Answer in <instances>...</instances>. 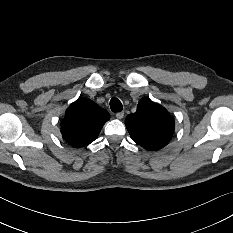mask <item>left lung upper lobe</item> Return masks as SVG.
<instances>
[{
	"label": "left lung upper lobe",
	"instance_id": "1",
	"mask_svg": "<svg viewBox=\"0 0 233 233\" xmlns=\"http://www.w3.org/2000/svg\"><path fill=\"white\" fill-rule=\"evenodd\" d=\"M125 125L131 138L151 151L166 146L175 128L168 111L148 98L139 101L136 112L126 117Z\"/></svg>",
	"mask_w": 233,
	"mask_h": 233
}]
</instances>
